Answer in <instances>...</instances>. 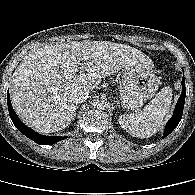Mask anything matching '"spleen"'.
Masks as SVG:
<instances>
[{
    "mask_svg": "<svg viewBox=\"0 0 195 195\" xmlns=\"http://www.w3.org/2000/svg\"><path fill=\"white\" fill-rule=\"evenodd\" d=\"M172 102V89L164 87L155 98L135 114H122L119 124L130 135L147 138L155 134L168 117Z\"/></svg>",
    "mask_w": 195,
    "mask_h": 195,
    "instance_id": "3e777b00",
    "label": "spleen"
}]
</instances>
